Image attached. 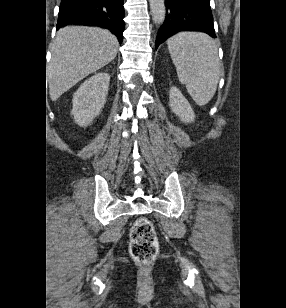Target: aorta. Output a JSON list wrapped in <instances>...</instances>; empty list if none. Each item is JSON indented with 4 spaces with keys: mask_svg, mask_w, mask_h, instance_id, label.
<instances>
[{
    "mask_svg": "<svg viewBox=\"0 0 286 308\" xmlns=\"http://www.w3.org/2000/svg\"><path fill=\"white\" fill-rule=\"evenodd\" d=\"M149 4L154 23L161 25L166 16L165 0H149Z\"/></svg>",
    "mask_w": 286,
    "mask_h": 308,
    "instance_id": "aorta-1",
    "label": "aorta"
}]
</instances>
